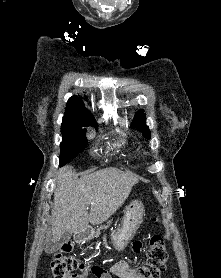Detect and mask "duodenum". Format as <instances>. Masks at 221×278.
I'll return each mask as SVG.
<instances>
[{
  "label": "duodenum",
  "mask_w": 221,
  "mask_h": 278,
  "mask_svg": "<svg viewBox=\"0 0 221 278\" xmlns=\"http://www.w3.org/2000/svg\"><path fill=\"white\" fill-rule=\"evenodd\" d=\"M88 235H89V229L87 228L76 234V240L78 242H83L88 237Z\"/></svg>",
  "instance_id": "obj_1"
}]
</instances>
